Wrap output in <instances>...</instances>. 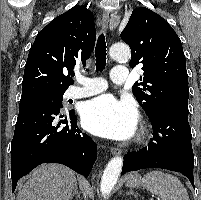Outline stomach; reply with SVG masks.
Wrapping results in <instances>:
<instances>
[{
  "label": "stomach",
  "instance_id": "0dacf381",
  "mask_svg": "<svg viewBox=\"0 0 201 200\" xmlns=\"http://www.w3.org/2000/svg\"><path fill=\"white\" fill-rule=\"evenodd\" d=\"M127 183L131 186V187H140V186H144V183H143V179L141 178L140 175L138 174H135V175H131L129 178H128V181Z\"/></svg>",
  "mask_w": 201,
  "mask_h": 200
}]
</instances>
